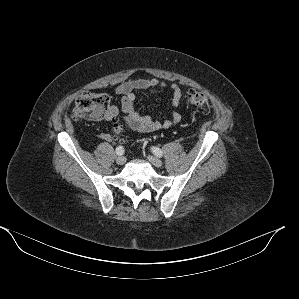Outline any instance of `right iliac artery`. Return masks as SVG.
Here are the masks:
<instances>
[{
    "label": "right iliac artery",
    "mask_w": 299,
    "mask_h": 299,
    "mask_svg": "<svg viewBox=\"0 0 299 299\" xmlns=\"http://www.w3.org/2000/svg\"><path fill=\"white\" fill-rule=\"evenodd\" d=\"M116 154L117 155H123L124 154V148L122 146H118L116 148Z\"/></svg>",
    "instance_id": "right-iliac-artery-1"
}]
</instances>
